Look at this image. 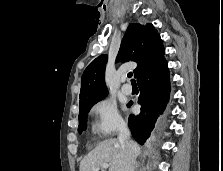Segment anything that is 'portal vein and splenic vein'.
Wrapping results in <instances>:
<instances>
[{
    "mask_svg": "<svg viewBox=\"0 0 223 171\" xmlns=\"http://www.w3.org/2000/svg\"><path fill=\"white\" fill-rule=\"evenodd\" d=\"M109 167L108 164H102L100 167L95 168L94 171H99L100 168L107 169Z\"/></svg>",
    "mask_w": 223,
    "mask_h": 171,
    "instance_id": "portal-vein-and-splenic-vein-1",
    "label": "portal vein and splenic vein"
}]
</instances>
